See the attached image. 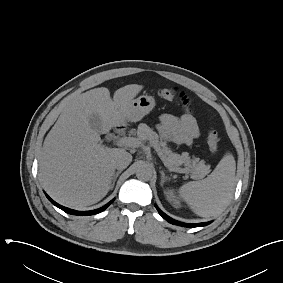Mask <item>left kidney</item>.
Instances as JSON below:
<instances>
[{
    "instance_id": "5707ae66",
    "label": "left kidney",
    "mask_w": 283,
    "mask_h": 283,
    "mask_svg": "<svg viewBox=\"0 0 283 283\" xmlns=\"http://www.w3.org/2000/svg\"><path fill=\"white\" fill-rule=\"evenodd\" d=\"M164 193H165L168 201L171 202L175 208L180 207V202L176 198V195H175V192H174L173 189H167Z\"/></svg>"
}]
</instances>
